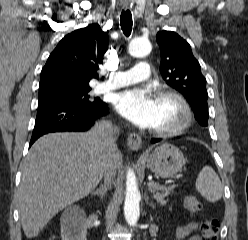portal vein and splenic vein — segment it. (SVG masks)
Segmentation results:
<instances>
[{
    "instance_id": "1",
    "label": "portal vein and splenic vein",
    "mask_w": 248,
    "mask_h": 240,
    "mask_svg": "<svg viewBox=\"0 0 248 240\" xmlns=\"http://www.w3.org/2000/svg\"><path fill=\"white\" fill-rule=\"evenodd\" d=\"M148 186L153 188V187H157L158 184L155 183L154 181H149Z\"/></svg>"
}]
</instances>
